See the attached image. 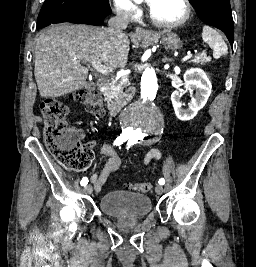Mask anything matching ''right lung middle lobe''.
<instances>
[{"label": "right lung middle lobe", "mask_w": 256, "mask_h": 267, "mask_svg": "<svg viewBox=\"0 0 256 267\" xmlns=\"http://www.w3.org/2000/svg\"><path fill=\"white\" fill-rule=\"evenodd\" d=\"M82 13L106 17L111 14L109 0H45L37 22L56 15L75 16Z\"/></svg>", "instance_id": "1"}]
</instances>
